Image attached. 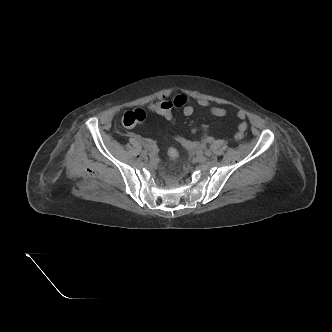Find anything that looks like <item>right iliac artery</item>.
<instances>
[{"label":"right iliac artery","mask_w":332,"mask_h":332,"mask_svg":"<svg viewBox=\"0 0 332 332\" xmlns=\"http://www.w3.org/2000/svg\"><path fill=\"white\" fill-rule=\"evenodd\" d=\"M142 146L145 150H150L152 148V145L150 143H146V142L143 143Z\"/></svg>","instance_id":"right-iliac-artery-1"}]
</instances>
